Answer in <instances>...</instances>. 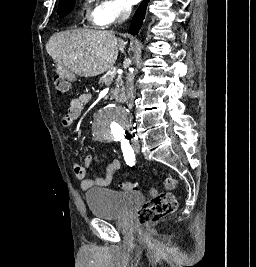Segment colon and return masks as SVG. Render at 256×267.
I'll return each mask as SVG.
<instances>
[{"label": "colon", "mask_w": 256, "mask_h": 267, "mask_svg": "<svg viewBox=\"0 0 256 267\" xmlns=\"http://www.w3.org/2000/svg\"><path fill=\"white\" fill-rule=\"evenodd\" d=\"M55 91L58 96H65L70 93L71 84L70 81H65V77H55L54 80ZM178 186L177 180L168 175L165 178V187L167 189H175ZM137 183L135 182H121L120 189L123 191H137ZM151 199L146 202L137 212L138 224H141L142 228H151L153 222H157L162 218L175 212L177 208V201L172 193H161L157 195L156 188H151Z\"/></svg>", "instance_id": "obj_1"}]
</instances>
